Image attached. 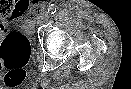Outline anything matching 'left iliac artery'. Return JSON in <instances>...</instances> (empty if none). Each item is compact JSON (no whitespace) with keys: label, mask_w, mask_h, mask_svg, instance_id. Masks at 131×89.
Wrapping results in <instances>:
<instances>
[{"label":"left iliac artery","mask_w":131,"mask_h":89,"mask_svg":"<svg viewBox=\"0 0 131 89\" xmlns=\"http://www.w3.org/2000/svg\"><path fill=\"white\" fill-rule=\"evenodd\" d=\"M57 11V6L54 4L49 5L48 7V13L54 14Z\"/></svg>","instance_id":"44dca946"}]
</instances>
